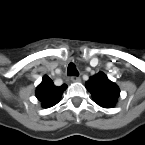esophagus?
<instances>
[{"label": "esophagus", "instance_id": "obj_1", "mask_svg": "<svg viewBox=\"0 0 145 145\" xmlns=\"http://www.w3.org/2000/svg\"><path fill=\"white\" fill-rule=\"evenodd\" d=\"M71 81H72V82H80V81H81V78L78 77V76H72V77H71Z\"/></svg>", "mask_w": 145, "mask_h": 145}]
</instances>
